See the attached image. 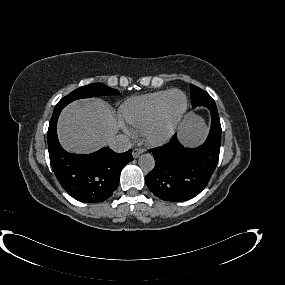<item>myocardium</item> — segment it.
Segmentation results:
<instances>
[{
  "instance_id": "1",
  "label": "myocardium",
  "mask_w": 285,
  "mask_h": 285,
  "mask_svg": "<svg viewBox=\"0 0 285 285\" xmlns=\"http://www.w3.org/2000/svg\"><path fill=\"white\" fill-rule=\"evenodd\" d=\"M175 94L183 97L181 107L175 112L171 111V99ZM188 107L184 92L174 89L166 97L157 117L147 125L142 135L145 141L152 146H158L169 141L176 133L177 128Z\"/></svg>"
}]
</instances>
